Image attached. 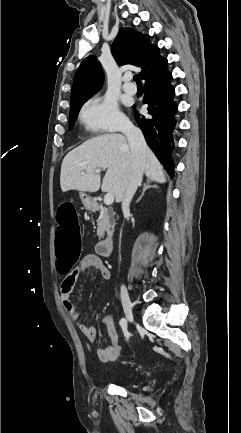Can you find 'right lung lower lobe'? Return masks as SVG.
<instances>
[{"label":"right lung lower lobe","mask_w":241,"mask_h":433,"mask_svg":"<svg viewBox=\"0 0 241 433\" xmlns=\"http://www.w3.org/2000/svg\"><path fill=\"white\" fill-rule=\"evenodd\" d=\"M166 65L144 80L143 103L148 104V115L140 116L137 112L134 115L147 144L167 172L173 176L172 152L175 143L173 132L178 106L173 100L175 90L170 84L172 74L167 70Z\"/></svg>","instance_id":"right-lung-lower-lobe-1"}]
</instances>
